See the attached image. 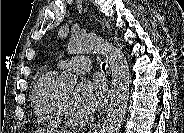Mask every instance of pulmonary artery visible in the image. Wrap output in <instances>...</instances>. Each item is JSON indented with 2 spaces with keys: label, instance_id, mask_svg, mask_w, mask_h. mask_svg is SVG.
<instances>
[{
  "label": "pulmonary artery",
  "instance_id": "1",
  "mask_svg": "<svg viewBox=\"0 0 184 133\" xmlns=\"http://www.w3.org/2000/svg\"><path fill=\"white\" fill-rule=\"evenodd\" d=\"M58 66L60 68H68L75 73H86L90 67V60L84 56H75L69 61H61Z\"/></svg>",
  "mask_w": 184,
  "mask_h": 133
}]
</instances>
